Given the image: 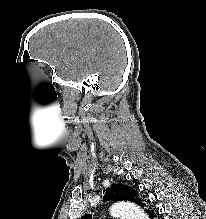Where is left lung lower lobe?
Segmentation results:
<instances>
[{"label":"left lung lower lobe","instance_id":"left-lung-lower-lobe-1","mask_svg":"<svg viewBox=\"0 0 206 219\" xmlns=\"http://www.w3.org/2000/svg\"><path fill=\"white\" fill-rule=\"evenodd\" d=\"M148 214H149L150 218L153 219L154 213H152L151 211H148Z\"/></svg>","mask_w":206,"mask_h":219}]
</instances>
